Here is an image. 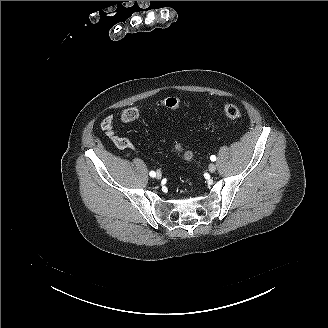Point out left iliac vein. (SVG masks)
Segmentation results:
<instances>
[{"label":"left iliac vein","mask_w":328,"mask_h":328,"mask_svg":"<svg viewBox=\"0 0 328 328\" xmlns=\"http://www.w3.org/2000/svg\"><path fill=\"white\" fill-rule=\"evenodd\" d=\"M208 169H209L210 172H215V170H216V165L213 164V163H211V164L208 166Z\"/></svg>","instance_id":"left-iliac-vein-1"}]
</instances>
